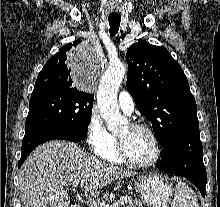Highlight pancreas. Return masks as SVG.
<instances>
[{"label": "pancreas", "instance_id": "pancreas-1", "mask_svg": "<svg viewBox=\"0 0 220 207\" xmlns=\"http://www.w3.org/2000/svg\"><path fill=\"white\" fill-rule=\"evenodd\" d=\"M106 203L105 202H101L100 200H98L95 204L94 207H105ZM125 207H142V202H140L139 200L135 199V200H128L126 202V206Z\"/></svg>", "mask_w": 220, "mask_h": 207}]
</instances>
